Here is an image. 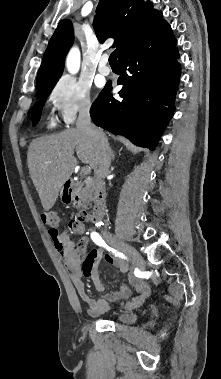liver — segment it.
Instances as JSON below:
<instances>
[{
	"label": "liver",
	"mask_w": 221,
	"mask_h": 379,
	"mask_svg": "<svg viewBox=\"0 0 221 379\" xmlns=\"http://www.w3.org/2000/svg\"><path fill=\"white\" fill-rule=\"evenodd\" d=\"M91 168L97 159V141L77 128L33 140L28 148L27 162L30 177L45 211L55 204L64 183L77 164L74 156Z\"/></svg>",
	"instance_id": "1"
}]
</instances>
